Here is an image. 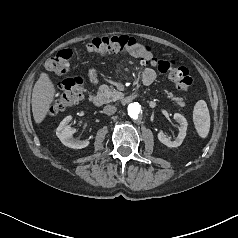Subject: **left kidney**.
Wrapping results in <instances>:
<instances>
[{"instance_id": "5707ae66", "label": "left kidney", "mask_w": 238, "mask_h": 238, "mask_svg": "<svg viewBox=\"0 0 238 238\" xmlns=\"http://www.w3.org/2000/svg\"><path fill=\"white\" fill-rule=\"evenodd\" d=\"M173 118L179 125V134L176 137V139L171 140L167 138L166 135H164L163 131H160L158 133L159 141L163 143L164 145H166L167 147H171V148L178 147L182 144L184 138L186 137V130L188 125L186 118L179 113H175Z\"/></svg>"}]
</instances>
